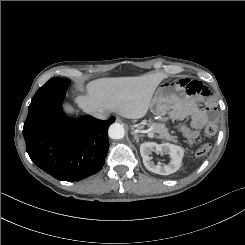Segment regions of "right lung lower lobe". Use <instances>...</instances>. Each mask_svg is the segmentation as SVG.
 Returning a JSON list of instances; mask_svg holds the SVG:
<instances>
[{
  "label": "right lung lower lobe",
  "mask_w": 245,
  "mask_h": 245,
  "mask_svg": "<svg viewBox=\"0 0 245 245\" xmlns=\"http://www.w3.org/2000/svg\"><path fill=\"white\" fill-rule=\"evenodd\" d=\"M69 82L51 79L38 89L23 134L27 152L39 168L58 180L78 181L102 168L109 148L107 131L115 117H65L61 104Z\"/></svg>",
  "instance_id": "obj_1"
}]
</instances>
